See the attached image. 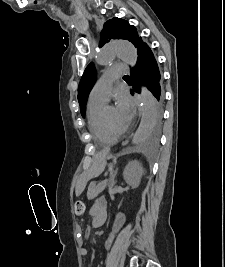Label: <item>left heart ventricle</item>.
<instances>
[{
  "label": "left heart ventricle",
  "instance_id": "1",
  "mask_svg": "<svg viewBox=\"0 0 225 267\" xmlns=\"http://www.w3.org/2000/svg\"><path fill=\"white\" fill-rule=\"evenodd\" d=\"M106 118H107L108 122L110 123V125L112 127H114L115 129H123L124 128L122 126V124L120 123V121L118 120L116 110L114 107H107Z\"/></svg>",
  "mask_w": 225,
  "mask_h": 267
}]
</instances>
